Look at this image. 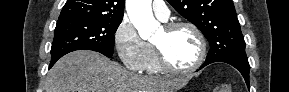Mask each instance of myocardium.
<instances>
[{
    "label": "myocardium",
    "mask_w": 289,
    "mask_h": 92,
    "mask_svg": "<svg viewBox=\"0 0 289 92\" xmlns=\"http://www.w3.org/2000/svg\"><path fill=\"white\" fill-rule=\"evenodd\" d=\"M164 28L169 32L174 31L178 28L191 29L198 39L200 50H199L198 59L196 60V62L193 65L186 67V68H179V67L172 65L169 62V60L167 59L163 50L158 45L153 43V47H154V50H155L160 67L163 70L170 72V73H174V74H187V73L194 72L195 70L200 68L202 66V64L204 63L206 56H207V41H206V38H205L203 32L200 30V28L197 25H195L194 23L189 22V21L169 22V23L164 25Z\"/></svg>",
    "instance_id": "1"
}]
</instances>
